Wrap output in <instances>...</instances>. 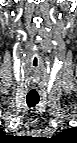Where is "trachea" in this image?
Returning a JSON list of instances; mask_svg holds the SVG:
<instances>
[{
	"label": "trachea",
	"mask_w": 77,
	"mask_h": 143,
	"mask_svg": "<svg viewBox=\"0 0 77 143\" xmlns=\"http://www.w3.org/2000/svg\"><path fill=\"white\" fill-rule=\"evenodd\" d=\"M39 100H40L39 95L28 94L26 96V102L29 107H34L36 104H38Z\"/></svg>",
	"instance_id": "3493384b"
}]
</instances>
